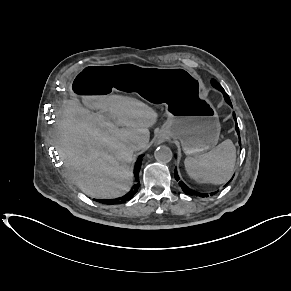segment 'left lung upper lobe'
I'll use <instances>...</instances> for the list:
<instances>
[{"instance_id":"obj_1","label":"left lung upper lobe","mask_w":291,"mask_h":291,"mask_svg":"<svg viewBox=\"0 0 291 291\" xmlns=\"http://www.w3.org/2000/svg\"><path fill=\"white\" fill-rule=\"evenodd\" d=\"M211 84H212V86L213 87H215L216 89H218L219 91H221V90H224L223 88H222V86L215 80V79H212L211 80Z\"/></svg>"}]
</instances>
